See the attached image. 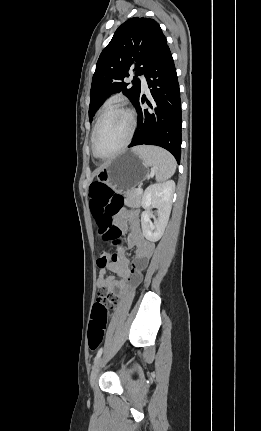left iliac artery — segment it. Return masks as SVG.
<instances>
[{"instance_id": "1", "label": "left iliac artery", "mask_w": 261, "mask_h": 431, "mask_svg": "<svg viewBox=\"0 0 261 431\" xmlns=\"http://www.w3.org/2000/svg\"><path fill=\"white\" fill-rule=\"evenodd\" d=\"M102 352H103V348H100L97 352V355L95 356V359H94L95 361H97L100 358V356L102 355Z\"/></svg>"}]
</instances>
